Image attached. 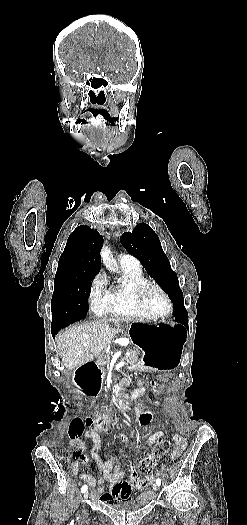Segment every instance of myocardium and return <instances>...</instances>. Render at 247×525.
<instances>
[{
    "label": "myocardium",
    "instance_id": "myocardium-1",
    "mask_svg": "<svg viewBox=\"0 0 247 525\" xmlns=\"http://www.w3.org/2000/svg\"><path fill=\"white\" fill-rule=\"evenodd\" d=\"M148 286H153L157 288L163 294L164 298L166 299L167 307L163 312L154 313L150 311L149 309H147L146 306L144 305L142 301V292ZM132 292H133V296H134L137 307L141 309L142 311H144L148 317H154V319H162V318L167 317L171 313L172 308H173L172 300L169 294L167 293V291L164 289V287L159 282L155 280H147V279L142 280L133 286Z\"/></svg>",
    "mask_w": 247,
    "mask_h": 525
}]
</instances>
